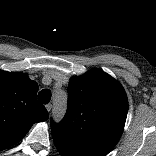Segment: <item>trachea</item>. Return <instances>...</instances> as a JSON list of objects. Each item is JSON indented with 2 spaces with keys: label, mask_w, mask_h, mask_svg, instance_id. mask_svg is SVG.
Segmentation results:
<instances>
[{
  "label": "trachea",
  "mask_w": 156,
  "mask_h": 156,
  "mask_svg": "<svg viewBox=\"0 0 156 156\" xmlns=\"http://www.w3.org/2000/svg\"><path fill=\"white\" fill-rule=\"evenodd\" d=\"M51 99V91L48 89H43L39 92L38 94V100L43 103V104H47L49 103Z\"/></svg>",
  "instance_id": "trachea-1"
}]
</instances>
